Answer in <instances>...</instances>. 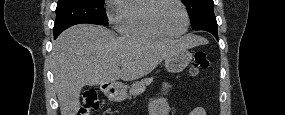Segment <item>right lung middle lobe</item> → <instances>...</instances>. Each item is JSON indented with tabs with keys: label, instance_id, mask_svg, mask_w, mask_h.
<instances>
[{
	"label": "right lung middle lobe",
	"instance_id": "obj_1",
	"mask_svg": "<svg viewBox=\"0 0 285 115\" xmlns=\"http://www.w3.org/2000/svg\"><path fill=\"white\" fill-rule=\"evenodd\" d=\"M79 23L108 25L104 0H59L54 33Z\"/></svg>",
	"mask_w": 285,
	"mask_h": 115
}]
</instances>
